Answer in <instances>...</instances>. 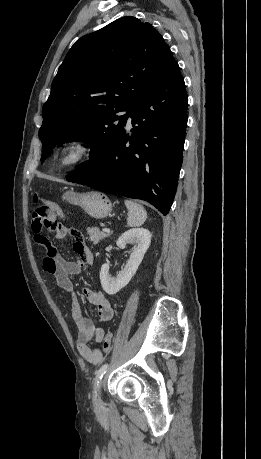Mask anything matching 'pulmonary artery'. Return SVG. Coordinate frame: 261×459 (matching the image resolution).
Returning a JSON list of instances; mask_svg holds the SVG:
<instances>
[{
  "label": "pulmonary artery",
  "mask_w": 261,
  "mask_h": 459,
  "mask_svg": "<svg viewBox=\"0 0 261 459\" xmlns=\"http://www.w3.org/2000/svg\"><path fill=\"white\" fill-rule=\"evenodd\" d=\"M125 113H126V112H125ZM128 122H129V123L131 122V117H130V115H129V117H128Z\"/></svg>",
  "instance_id": "pulmonary-artery-1"
}]
</instances>
